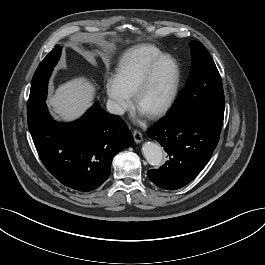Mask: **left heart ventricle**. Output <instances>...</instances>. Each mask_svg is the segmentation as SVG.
Masks as SVG:
<instances>
[{
    "instance_id": "obj_1",
    "label": "left heart ventricle",
    "mask_w": 265,
    "mask_h": 265,
    "mask_svg": "<svg viewBox=\"0 0 265 265\" xmlns=\"http://www.w3.org/2000/svg\"><path fill=\"white\" fill-rule=\"evenodd\" d=\"M174 73L173 66L170 61L162 62L138 101L137 109L144 114H147L160 107L167 99L172 83Z\"/></svg>"
}]
</instances>
